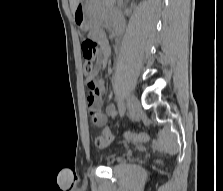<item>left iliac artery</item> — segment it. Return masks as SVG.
<instances>
[{
    "mask_svg": "<svg viewBox=\"0 0 223 191\" xmlns=\"http://www.w3.org/2000/svg\"><path fill=\"white\" fill-rule=\"evenodd\" d=\"M118 109H119L120 116L122 117L125 113V105L123 101V96H121L118 100Z\"/></svg>",
    "mask_w": 223,
    "mask_h": 191,
    "instance_id": "obj_1",
    "label": "left iliac artery"
}]
</instances>
